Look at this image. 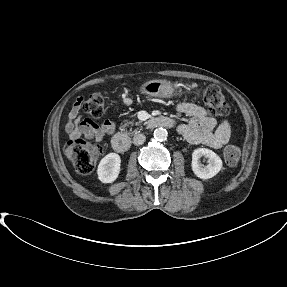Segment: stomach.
<instances>
[{"label": "stomach", "mask_w": 287, "mask_h": 287, "mask_svg": "<svg viewBox=\"0 0 287 287\" xmlns=\"http://www.w3.org/2000/svg\"><path fill=\"white\" fill-rule=\"evenodd\" d=\"M140 92L148 97L171 98L178 94L177 88L166 80H151L140 87Z\"/></svg>", "instance_id": "stomach-1"}]
</instances>
